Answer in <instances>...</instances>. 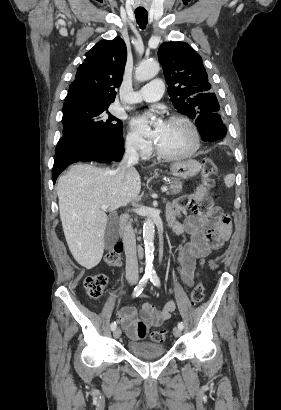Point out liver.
I'll list each match as a JSON object with an SVG mask.
<instances>
[{"mask_svg":"<svg viewBox=\"0 0 281 410\" xmlns=\"http://www.w3.org/2000/svg\"><path fill=\"white\" fill-rule=\"evenodd\" d=\"M140 191L135 169L120 179L115 170L79 163L59 178L62 227L69 250L81 266L91 269L102 259L108 217L101 207L114 211L135 200Z\"/></svg>","mask_w":281,"mask_h":410,"instance_id":"liver-1","label":"liver"}]
</instances>
